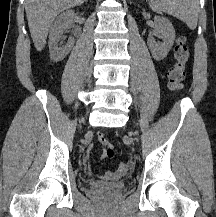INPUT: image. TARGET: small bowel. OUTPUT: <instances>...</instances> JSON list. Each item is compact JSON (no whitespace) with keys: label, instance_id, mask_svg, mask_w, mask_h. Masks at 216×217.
I'll use <instances>...</instances> for the list:
<instances>
[{"label":"small bowel","instance_id":"obj_1","mask_svg":"<svg viewBox=\"0 0 216 217\" xmlns=\"http://www.w3.org/2000/svg\"><path fill=\"white\" fill-rule=\"evenodd\" d=\"M90 155H91V153H90V151H89V152L87 153V162H88L89 165L91 164V162H90ZM121 172H122V169L119 168V169H117L115 172H110V173L104 175V176H103V179H104V180H107V181L114 180V179L118 176V174L121 173Z\"/></svg>","mask_w":216,"mask_h":217}]
</instances>
